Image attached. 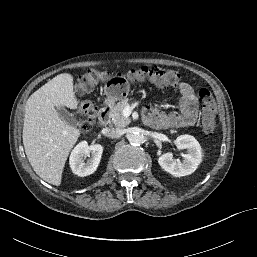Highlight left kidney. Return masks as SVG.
<instances>
[{
  "instance_id": "1",
  "label": "left kidney",
  "mask_w": 257,
  "mask_h": 257,
  "mask_svg": "<svg viewBox=\"0 0 257 257\" xmlns=\"http://www.w3.org/2000/svg\"><path fill=\"white\" fill-rule=\"evenodd\" d=\"M176 146L179 150H187V154L182 155L184 160H174L172 153H165L158 158L159 165L175 177L192 174L202 161L199 142L191 135H181L176 139Z\"/></svg>"
}]
</instances>
